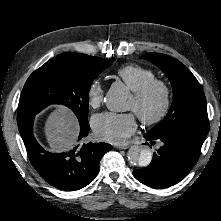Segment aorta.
Segmentation results:
<instances>
[{
    "label": "aorta",
    "instance_id": "1",
    "mask_svg": "<svg viewBox=\"0 0 221 221\" xmlns=\"http://www.w3.org/2000/svg\"><path fill=\"white\" fill-rule=\"evenodd\" d=\"M129 97L124 85H113L106 94L105 103L110 111L120 112L126 108ZM127 157L132 165L146 167L152 160V151L146 146L134 145L129 148Z\"/></svg>",
    "mask_w": 221,
    "mask_h": 221
}]
</instances>
